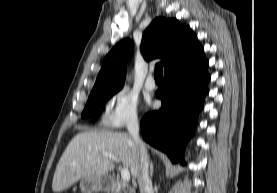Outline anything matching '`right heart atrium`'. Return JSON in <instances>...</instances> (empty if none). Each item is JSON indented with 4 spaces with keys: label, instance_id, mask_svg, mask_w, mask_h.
I'll use <instances>...</instances> for the list:
<instances>
[{
    "label": "right heart atrium",
    "instance_id": "obj_1",
    "mask_svg": "<svg viewBox=\"0 0 277 193\" xmlns=\"http://www.w3.org/2000/svg\"><path fill=\"white\" fill-rule=\"evenodd\" d=\"M138 121V106L135 97L125 88L115 91L103 117L105 126L120 129Z\"/></svg>",
    "mask_w": 277,
    "mask_h": 193
}]
</instances>
